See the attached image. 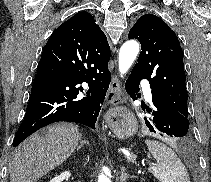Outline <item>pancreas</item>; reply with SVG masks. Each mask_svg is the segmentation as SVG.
Returning <instances> with one entry per match:
<instances>
[{"label":"pancreas","mask_w":211,"mask_h":182,"mask_svg":"<svg viewBox=\"0 0 211 182\" xmlns=\"http://www.w3.org/2000/svg\"><path fill=\"white\" fill-rule=\"evenodd\" d=\"M128 159H129L130 161H134V160L136 159V156H135V155H131L130 157H128Z\"/></svg>","instance_id":"pancreas-1"}]
</instances>
